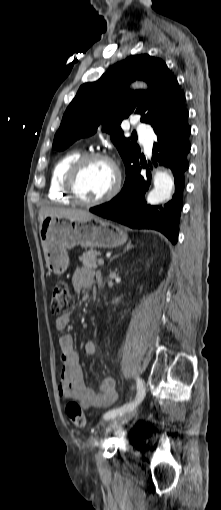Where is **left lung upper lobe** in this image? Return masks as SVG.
<instances>
[{
  "label": "left lung upper lobe",
  "mask_w": 221,
  "mask_h": 510,
  "mask_svg": "<svg viewBox=\"0 0 221 510\" xmlns=\"http://www.w3.org/2000/svg\"><path fill=\"white\" fill-rule=\"evenodd\" d=\"M143 79L149 91H130L129 84ZM177 79L159 58L133 55L113 65L96 82L83 84L67 107L55 134L53 148L64 150L81 137L94 134L100 124L111 134L126 167L140 157L133 138H125L120 123L131 114L157 129L188 115Z\"/></svg>",
  "instance_id": "5c2ea615"
}]
</instances>
